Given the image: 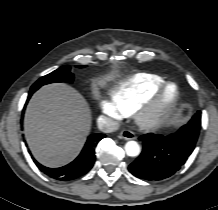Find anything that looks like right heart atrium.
<instances>
[{
	"instance_id": "d8ad5b80",
	"label": "right heart atrium",
	"mask_w": 218,
	"mask_h": 210,
	"mask_svg": "<svg viewBox=\"0 0 218 210\" xmlns=\"http://www.w3.org/2000/svg\"><path fill=\"white\" fill-rule=\"evenodd\" d=\"M99 105L101 110L109 117L113 119H119L121 117V110L113 99L103 98L100 100Z\"/></svg>"
}]
</instances>
